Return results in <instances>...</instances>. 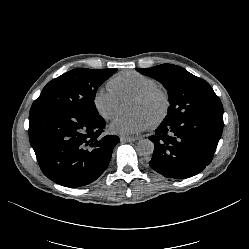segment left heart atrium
I'll return each mask as SVG.
<instances>
[{"label":"left heart atrium","mask_w":249,"mask_h":249,"mask_svg":"<svg viewBox=\"0 0 249 249\" xmlns=\"http://www.w3.org/2000/svg\"><path fill=\"white\" fill-rule=\"evenodd\" d=\"M149 126L148 121L141 114L118 115L109 125V131L118 135H136Z\"/></svg>","instance_id":"left-heart-atrium-1"}]
</instances>
